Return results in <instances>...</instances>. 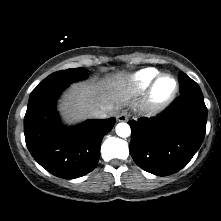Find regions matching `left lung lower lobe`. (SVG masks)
Returning a JSON list of instances; mask_svg holds the SVG:
<instances>
[{"label": "left lung lower lobe", "instance_id": "obj_1", "mask_svg": "<svg viewBox=\"0 0 221 221\" xmlns=\"http://www.w3.org/2000/svg\"><path fill=\"white\" fill-rule=\"evenodd\" d=\"M206 122L203 94H182L158 116L129 122L130 153L135 163L149 173L174 174L200 148Z\"/></svg>", "mask_w": 221, "mask_h": 221}]
</instances>
